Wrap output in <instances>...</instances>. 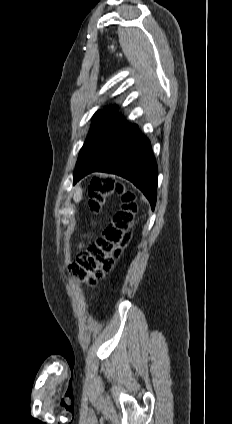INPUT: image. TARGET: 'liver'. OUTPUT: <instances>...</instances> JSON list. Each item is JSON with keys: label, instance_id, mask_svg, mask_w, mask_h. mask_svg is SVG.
I'll list each match as a JSON object with an SVG mask.
<instances>
[{"label": "liver", "instance_id": "6515ba94", "mask_svg": "<svg viewBox=\"0 0 232 424\" xmlns=\"http://www.w3.org/2000/svg\"><path fill=\"white\" fill-rule=\"evenodd\" d=\"M82 197V189L80 187H77L73 196V199L75 202L80 201Z\"/></svg>", "mask_w": 232, "mask_h": 424}]
</instances>
